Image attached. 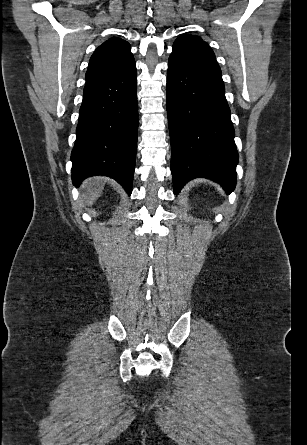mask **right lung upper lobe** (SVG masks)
I'll return each mask as SVG.
<instances>
[{
    "label": "right lung upper lobe",
    "mask_w": 307,
    "mask_h": 445,
    "mask_svg": "<svg viewBox=\"0 0 307 445\" xmlns=\"http://www.w3.org/2000/svg\"><path fill=\"white\" fill-rule=\"evenodd\" d=\"M134 63L128 42L120 38L107 40L92 55L85 76L86 81L120 73Z\"/></svg>",
    "instance_id": "1"
}]
</instances>
